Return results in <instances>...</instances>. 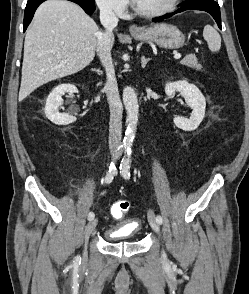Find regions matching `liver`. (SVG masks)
<instances>
[{"label": "liver", "mask_w": 249, "mask_h": 294, "mask_svg": "<svg viewBox=\"0 0 249 294\" xmlns=\"http://www.w3.org/2000/svg\"><path fill=\"white\" fill-rule=\"evenodd\" d=\"M100 34L95 21L77 4L65 0L42 3L25 36L19 100L45 83L88 66Z\"/></svg>", "instance_id": "liver-1"}]
</instances>
